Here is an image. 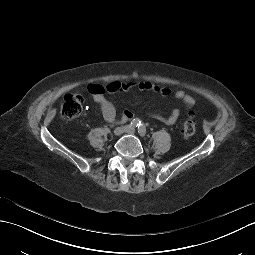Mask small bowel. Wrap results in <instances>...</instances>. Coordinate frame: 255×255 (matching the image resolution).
<instances>
[{
    "instance_id": "obj_1",
    "label": "small bowel",
    "mask_w": 255,
    "mask_h": 255,
    "mask_svg": "<svg viewBox=\"0 0 255 255\" xmlns=\"http://www.w3.org/2000/svg\"><path fill=\"white\" fill-rule=\"evenodd\" d=\"M134 87L141 91L150 90L164 96H169L172 94L175 99L185 104L187 108H191L194 105V99L184 90H176L172 92L169 88L162 87L158 84H153L147 81L125 83L111 82L106 86L93 83L88 85L87 91L100 107L102 115L107 122L124 123L134 118L136 112L134 110L126 109L121 113L120 118H117L116 109L112 102L105 96V93L128 91ZM179 115L180 111L177 108L173 109L169 116H162L158 113H150L152 118L160 120L167 125H174L177 122Z\"/></svg>"
}]
</instances>
